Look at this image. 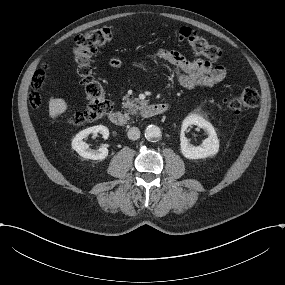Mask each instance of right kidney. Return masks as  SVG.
<instances>
[{"label":"right kidney","instance_id":"right-kidney-1","mask_svg":"<svg viewBox=\"0 0 285 285\" xmlns=\"http://www.w3.org/2000/svg\"><path fill=\"white\" fill-rule=\"evenodd\" d=\"M91 133H100L104 139L109 137V130L103 125H97L80 131L72 140V148L83 158L92 160H102L108 156L107 145H102L98 150H92L89 145L83 141Z\"/></svg>","mask_w":285,"mask_h":285}]
</instances>
